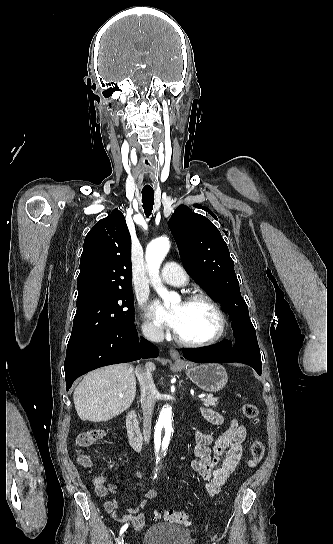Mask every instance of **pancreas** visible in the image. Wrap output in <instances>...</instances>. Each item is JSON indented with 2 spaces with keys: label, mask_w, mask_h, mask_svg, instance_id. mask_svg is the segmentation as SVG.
Returning a JSON list of instances; mask_svg holds the SVG:
<instances>
[{
  "label": "pancreas",
  "mask_w": 333,
  "mask_h": 544,
  "mask_svg": "<svg viewBox=\"0 0 333 544\" xmlns=\"http://www.w3.org/2000/svg\"><path fill=\"white\" fill-rule=\"evenodd\" d=\"M202 402H203V405L208 407V406H213V407H216L217 406V398H214L212 395H207L206 398H203L202 399Z\"/></svg>",
  "instance_id": "pancreas-1"
}]
</instances>
